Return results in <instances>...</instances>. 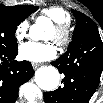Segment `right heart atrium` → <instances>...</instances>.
I'll return each instance as SVG.
<instances>
[{
    "label": "right heart atrium",
    "mask_w": 103,
    "mask_h": 103,
    "mask_svg": "<svg viewBox=\"0 0 103 103\" xmlns=\"http://www.w3.org/2000/svg\"><path fill=\"white\" fill-rule=\"evenodd\" d=\"M29 23L28 21L24 20L20 22L15 29V39L20 42L22 41L28 32Z\"/></svg>",
    "instance_id": "1"
}]
</instances>
